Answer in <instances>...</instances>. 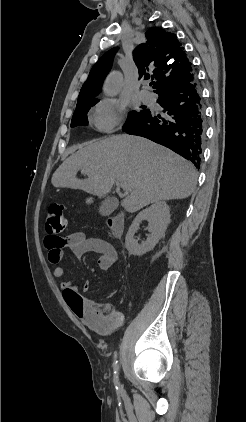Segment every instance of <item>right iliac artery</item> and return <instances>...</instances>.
<instances>
[{
	"instance_id": "82829eb1",
	"label": "right iliac artery",
	"mask_w": 246,
	"mask_h": 422,
	"mask_svg": "<svg viewBox=\"0 0 246 422\" xmlns=\"http://www.w3.org/2000/svg\"><path fill=\"white\" fill-rule=\"evenodd\" d=\"M118 369H119L118 361H116L115 366H114V382H115L117 390L121 388L120 383L118 381Z\"/></svg>"
}]
</instances>
